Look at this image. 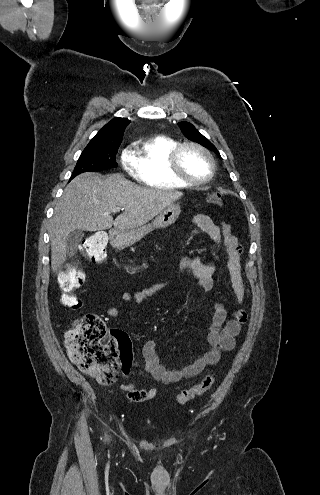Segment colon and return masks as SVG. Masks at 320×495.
Segmentation results:
<instances>
[{
    "mask_svg": "<svg viewBox=\"0 0 320 495\" xmlns=\"http://www.w3.org/2000/svg\"><path fill=\"white\" fill-rule=\"evenodd\" d=\"M207 202L219 207L222 196L212 193ZM107 237L103 232H95L85 239L82 246L83 256L96 263L104 262ZM84 273L76 266L68 267L59 279L60 288L65 292L61 301L65 307L77 309L79 301L71 292L82 285ZM65 347L68 356L81 371L94 376L103 385L112 384L118 375L120 364L128 365L132 359L131 342L121 331L108 329L103 319L96 314H85L73 324L66 333ZM215 382L213 374L206 375L196 385L181 391L177 402L184 405L211 389ZM131 402H142L148 399L147 390L135 389L127 395Z\"/></svg>",
    "mask_w": 320,
    "mask_h": 495,
    "instance_id": "obj_1",
    "label": "colon"
}]
</instances>
